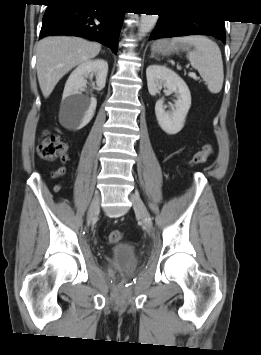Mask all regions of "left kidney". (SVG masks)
I'll use <instances>...</instances> for the list:
<instances>
[{
    "label": "left kidney",
    "mask_w": 261,
    "mask_h": 355,
    "mask_svg": "<svg viewBox=\"0 0 261 355\" xmlns=\"http://www.w3.org/2000/svg\"><path fill=\"white\" fill-rule=\"evenodd\" d=\"M147 86L151 95H156L162 87L169 92H174L175 108L165 111L163 100H158L155 105V114L158 124L167 134H177L185 123L186 115L191 106V94L184 80L173 70L160 65H150L146 69Z\"/></svg>",
    "instance_id": "1"
}]
</instances>
